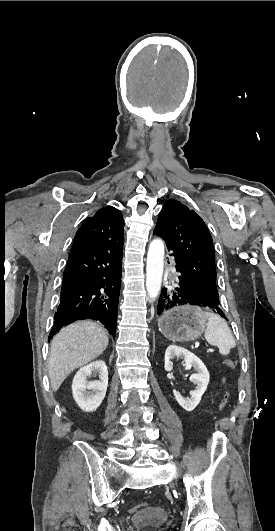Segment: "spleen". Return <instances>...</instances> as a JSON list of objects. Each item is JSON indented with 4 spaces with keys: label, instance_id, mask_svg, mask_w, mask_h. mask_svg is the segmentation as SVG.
<instances>
[{
    "label": "spleen",
    "instance_id": "3e777b00",
    "mask_svg": "<svg viewBox=\"0 0 275 531\" xmlns=\"http://www.w3.org/2000/svg\"><path fill=\"white\" fill-rule=\"evenodd\" d=\"M205 315L207 325L204 337L207 343L218 347L220 355H229L230 349H234L236 343L225 319L214 313H205Z\"/></svg>",
    "mask_w": 275,
    "mask_h": 531
}]
</instances>
